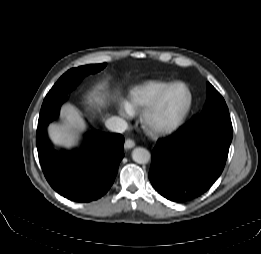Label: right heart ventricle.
Instances as JSON below:
<instances>
[{"mask_svg": "<svg viewBox=\"0 0 261 254\" xmlns=\"http://www.w3.org/2000/svg\"><path fill=\"white\" fill-rule=\"evenodd\" d=\"M169 84L163 81H147L135 86L130 91L127 103L129 111L137 113L151 106Z\"/></svg>", "mask_w": 261, "mask_h": 254, "instance_id": "obj_1", "label": "right heart ventricle"}]
</instances>
